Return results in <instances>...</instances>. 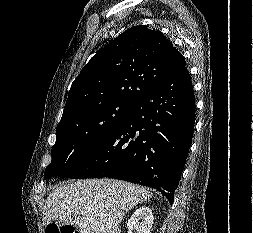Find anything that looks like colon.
<instances>
[{"label":"colon","instance_id":"obj_1","mask_svg":"<svg viewBox=\"0 0 253 233\" xmlns=\"http://www.w3.org/2000/svg\"><path fill=\"white\" fill-rule=\"evenodd\" d=\"M46 233H78L71 225L50 224L46 227Z\"/></svg>","mask_w":253,"mask_h":233}]
</instances>
